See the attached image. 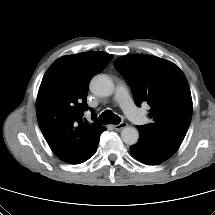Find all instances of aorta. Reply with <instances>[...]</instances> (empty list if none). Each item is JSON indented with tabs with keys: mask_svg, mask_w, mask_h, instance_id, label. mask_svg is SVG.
I'll use <instances>...</instances> for the list:
<instances>
[{
	"mask_svg": "<svg viewBox=\"0 0 215 215\" xmlns=\"http://www.w3.org/2000/svg\"><path fill=\"white\" fill-rule=\"evenodd\" d=\"M90 90L97 96L108 97L114 92V83L107 75L99 74L92 78ZM121 138L125 144L134 145L138 141L139 132L135 127L127 126L121 131Z\"/></svg>",
	"mask_w": 215,
	"mask_h": 215,
	"instance_id": "762f6f07",
	"label": "aorta"
}]
</instances>
